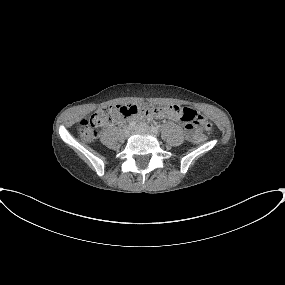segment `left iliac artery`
<instances>
[{
  "mask_svg": "<svg viewBox=\"0 0 285 285\" xmlns=\"http://www.w3.org/2000/svg\"><path fill=\"white\" fill-rule=\"evenodd\" d=\"M151 131L158 134L159 133V129L157 127L151 126Z\"/></svg>",
  "mask_w": 285,
  "mask_h": 285,
  "instance_id": "obj_1",
  "label": "left iliac artery"
}]
</instances>
